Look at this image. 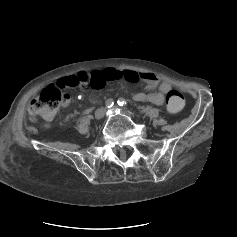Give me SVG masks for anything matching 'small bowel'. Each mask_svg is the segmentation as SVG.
<instances>
[{
  "mask_svg": "<svg viewBox=\"0 0 237 237\" xmlns=\"http://www.w3.org/2000/svg\"><path fill=\"white\" fill-rule=\"evenodd\" d=\"M93 76H98L100 82L98 84H93L91 87L94 89L103 88L106 83L115 81V80H123L129 83H136L139 81H144L147 83V88L149 90H155L151 93H137L134 95V100L137 102H145L148 101L155 105H162L165 101V96L171 90V86L166 81H161V79L152 73H137L129 70H118L113 68H108L103 70L102 72H96L89 75V78ZM69 103L68 100L64 101L63 106H67Z\"/></svg>",
  "mask_w": 237,
  "mask_h": 237,
  "instance_id": "obj_1",
  "label": "small bowel"
}]
</instances>
